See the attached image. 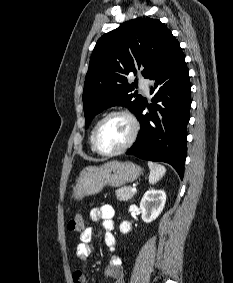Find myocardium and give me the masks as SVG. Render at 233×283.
<instances>
[{
    "instance_id": "f54148a6",
    "label": "myocardium",
    "mask_w": 233,
    "mask_h": 283,
    "mask_svg": "<svg viewBox=\"0 0 233 283\" xmlns=\"http://www.w3.org/2000/svg\"><path fill=\"white\" fill-rule=\"evenodd\" d=\"M113 116H124L126 117L130 124H131V134L130 137L128 139V141L119 149L115 150V151H110V152H105L102 151L98 144H97V136L98 133L100 131V128L102 127V125L111 117ZM139 129H140V124L138 119L136 118V116L128 109H117V110H113L110 111L109 113H107L106 115H104L96 124L94 130H93V134H92V147L94 149V151L102 156H116L119 154L124 153L125 151H127L136 141L138 133H139Z\"/></svg>"
}]
</instances>
